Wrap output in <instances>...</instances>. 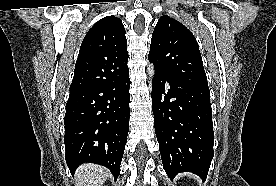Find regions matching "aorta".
Segmentation results:
<instances>
[{"label":"aorta","mask_w":276,"mask_h":186,"mask_svg":"<svg viewBox=\"0 0 276 186\" xmlns=\"http://www.w3.org/2000/svg\"><path fill=\"white\" fill-rule=\"evenodd\" d=\"M147 73L149 75L150 78L153 77L154 73H155V69H154V65L151 64L148 68H147Z\"/></svg>","instance_id":"762f6f07"}]
</instances>
